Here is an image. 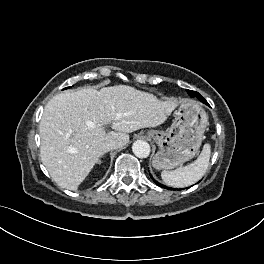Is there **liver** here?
I'll list each match as a JSON object with an SVG mask.
<instances>
[{"instance_id": "6515ba94", "label": "liver", "mask_w": 264, "mask_h": 264, "mask_svg": "<svg viewBox=\"0 0 264 264\" xmlns=\"http://www.w3.org/2000/svg\"><path fill=\"white\" fill-rule=\"evenodd\" d=\"M177 104L126 85L60 93L39 125L42 163L60 187L75 191L106 152V141L124 147L129 133L161 125ZM108 124L113 131H105Z\"/></svg>"}]
</instances>
